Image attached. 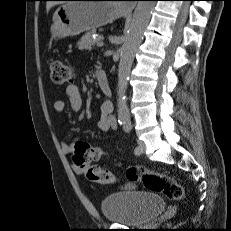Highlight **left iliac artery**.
<instances>
[{
    "label": "left iliac artery",
    "instance_id": "obj_1",
    "mask_svg": "<svg viewBox=\"0 0 231 231\" xmlns=\"http://www.w3.org/2000/svg\"><path fill=\"white\" fill-rule=\"evenodd\" d=\"M123 129L126 133H130L132 130L131 122L130 121H124L123 122ZM134 152L136 155L140 154L138 147L135 148Z\"/></svg>",
    "mask_w": 231,
    "mask_h": 231
}]
</instances>
